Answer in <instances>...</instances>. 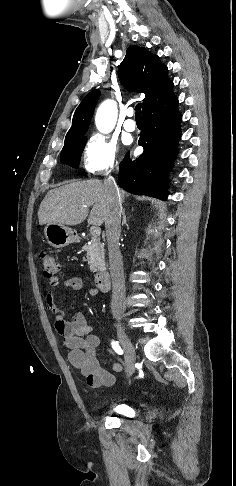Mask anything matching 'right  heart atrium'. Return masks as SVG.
Returning a JSON list of instances; mask_svg holds the SVG:
<instances>
[{"label": "right heart atrium", "mask_w": 236, "mask_h": 486, "mask_svg": "<svg viewBox=\"0 0 236 486\" xmlns=\"http://www.w3.org/2000/svg\"><path fill=\"white\" fill-rule=\"evenodd\" d=\"M119 148L115 141L103 134L91 135L83 149V164L90 174L108 172L116 168Z\"/></svg>", "instance_id": "obj_1"}]
</instances>
